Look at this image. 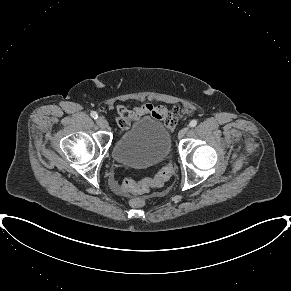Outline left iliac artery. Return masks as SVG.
I'll list each match as a JSON object with an SVG mask.
<instances>
[{"label": "left iliac artery", "instance_id": "obj_1", "mask_svg": "<svg viewBox=\"0 0 291 291\" xmlns=\"http://www.w3.org/2000/svg\"><path fill=\"white\" fill-rule=\"evenodd\" d=\"M196 125H197V120H195V119L189 123L190 127H195Z\"/></svg>", "mask_w": 291, "mask_h": 291}]
</instances>
